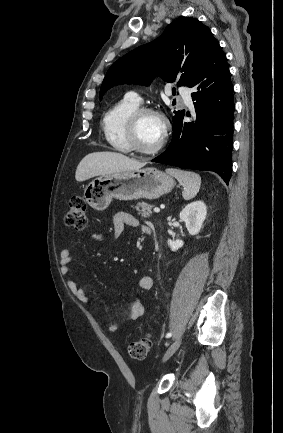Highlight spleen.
Segmentation results:
<instances>
[{
	"instance_id": "obj_1",
	"label": "spleen",
	"mask_w": 283,
	"mask_h": 433,
	"mask_svg": "<svg viewBox=\"0 0 283 433\" xmlns=\"http://www.w3.org/2000/svg\"><path fill=\"white\" fill-rule=\"evenodd\" d=\"M168 174L175 176L179 180L180 184L184 186L183 198L190 200L194 198L197 192H199L201 184V176L196 172H189V170H179V168H166Z\"/></svg>"
}]
</instances>
